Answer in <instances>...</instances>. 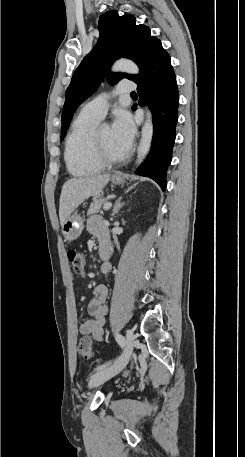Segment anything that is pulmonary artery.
<instances>
[{
    "instance_id": "pulmonary-artery-1",
    "label": "pulmonary artery",
    "mask_w": 245,
    "mask_h": 457,
    "mask_svg": "<svg viewBox=\"0 0 245 457\" xmlns=\"http://www.w3.org/2000/svg\"><path fill=\"white\" fill-rule=\"evenodd\" d=\"M116 85L117 88L115 91L117 95H132L133 89H137L139 86L137 80H118ZM111 96L113 97L114 95L112 94ZM109 100L110 95L108 93H100L98 100H93L82 106L80 115L97 120L102 119L108 109Z\"/></svg>"
}]
</instances>
